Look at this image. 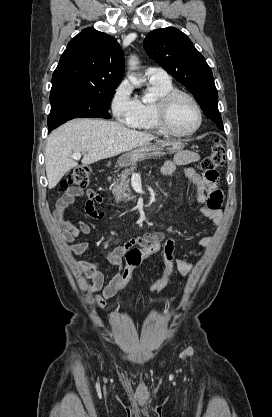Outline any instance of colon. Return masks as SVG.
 Wrapping results in <instances>:
<instances>
[{
  "mask_svg": "<svg viewBox=\"0 0 272 417\" xmlns=\"http://www.w3.org/2000/svg\"><path fill=\"white\" fill-rule=\"evenodd\" d=\"M225 159L226 152L223 144L219 140H214L210 153L202 160L200 167L206 173L215 172L224 164ZM90 175L91 170L88 166H78L70 172L61 185L63 188L68 186L85 188L90 183ZM174 249V240L167 237L143 241L129 249L125 254L126 265L123 274L116 286L117 292L125 288L142 262L156 254L162 255L164 267L160 276L152 283L150 291L158 293L163 290L174 269Z\"/></svg>",
  "mask_w": 272,
  "mask_h": 417,
  "instance_id": "colon-1",
  "label": "colon"
}]
</instances>
